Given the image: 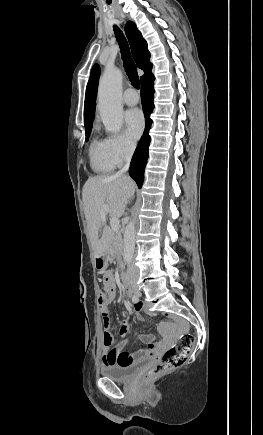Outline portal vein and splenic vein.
Here are the masks:
<instances>
[{
	"label": "portal vein and splenic vein",
	"mask_w": 263,
	"mask_h": 435,
	"mask_svg": "<svg viewBox=\"0 0 263 435\" xmlns=\"http://www.w3.org/2000/svg\"><path fill=\"white\" fill-rule=\"evenodd\" d=\"M109 213V207L107 205L102 206L101 219L106 220V214ZM110 226L113 231L117 232L119 230V218L112 217L110 219Z\"/></svg>",
	"instance_id": "18ae733b"
}]
</instances>
